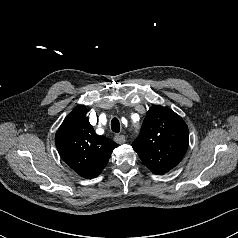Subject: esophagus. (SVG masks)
Masks as SVG:
<instances>
[{"label":"esophagus","instance_id":"obj_1","mask_svg":"<svg viewBox=\"0 0 238 238\" xmlns=\"http://www.w3.org/2000/svg\"><path fill=\"white\" fill-rule=\"evenodd\" d=\"M114 140H115L116 143L122 144V143L125 142V136L118 134V135H116V136L114 137Z\"/></svg>","mask_w":238,"mask_h":238}]
</instances>
